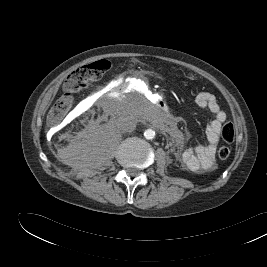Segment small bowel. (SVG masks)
<instances>
[{
	"label": "small bowel",
	"instance_id": "1",
	"mask_svg": "<svg viewBox=\"0 0 267 267\" xmlns=\"http://www.w3.org/2000/svg\"><path fill=\"white\" fill-rule=\"evenodd\" d=\"M195 104L213 115V120L206 128L208 143L180 153L181 162L193 172H204L215 166V153L220 140L223 124L227 119L216 97L207 91H201L195 96Z\"/></svg>",
	"mask_w": 267,
	"mask_h": 267
}]
</instances>
